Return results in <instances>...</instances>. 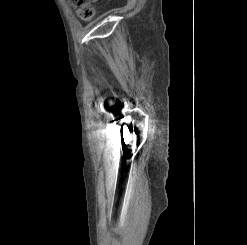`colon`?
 <instances>
[{
	"instance_id": "colon-1",
	"label": "colon",
	"mask_w": 247,
	"mask_h": 245,
	"mask_svg": "<svg viewBox=\"0 0 247 245\" xmlns=\"http://www.w3.org/2000/svg\"><path fill=\"white\" fill-rule=\"evenodd\" d=\"M79 17L85 21L93 19L95 5L99 0H69Z\"/></svg>"
}]
</instances>
